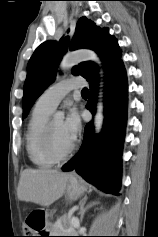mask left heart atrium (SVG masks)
Listing matches in <instances>:
<instances>
[{
	"mask_svg": "<svg viewBox=\"0 0 158 237\" xmlns=\"http://www.w3.org/2000/svg\"><path fill=\"white\" fill-rule=\"evenodd\" d=\"M81 129V123L78 113L75 110H71L66 119L62 123V130L64 135L70 142H74Z\"/></svg>",
	"mask_w": 158,
	"mask_h": 237,
	"instance_id": "39dd6f15",
	"label": "left heart atrium"
}]
</instances>
